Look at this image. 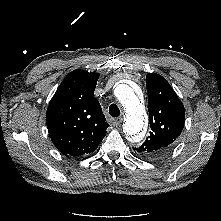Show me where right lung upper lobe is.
Returning <instances> with one entry per match:
<instances>
[{"label":"right lung upper lobe","mask_w":221,"mask_h":221,"mask_svg":"<svg viewBox=\"0 0 221 221\" xmlns=\"http://www.w3.org/2000/svg\"><path fill=\"white\" fill-rule=\"evenodd\" d=\"M98 78L97 73L72 71L49 103L46 112L49 135L64 155L92 153L106 135L109 124L94 97Z\"/></svg>","instance_id":"1"}]
</instances>
